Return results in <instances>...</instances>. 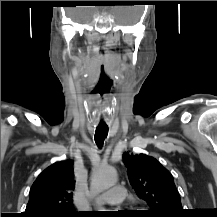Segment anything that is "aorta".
<instances>
[{
    "mask_svg": "<svg viewBox=\"0 0 217 217\" xmlns=\"http://www.w3.org/2000/svg\"><path fill=\"white\" fill-rule=\"evenodd\" d=\"M117 182L116 171L111 166L99 167L94 170L91 177L90 193L97 196L101 192L114 186ZM105 211V210H100Z\"/></svg>",
    "mask_w": 217,
    "mask_h": 217,
    "instance_id": "aorta-1",
    "label": "aorta"
}]
</instances>
